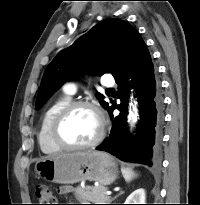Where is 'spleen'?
Returning <instances> with one entry per match:
<instances>
[{
  "label": "spleen",
  "instance_id": "3e777b00",
  "mask_svg": "<svg viewBox=\"0 0 200 205\" xmlns=\"http://www.w3.org/2000/svg\"><path fill=\"white\" fill-rule=\"evenodd\" d=\"M121 171L126 182H130L133 178L137 176L135 172L130 168L122 167Z\"/></svg>",
  "mask_w": 200,
  "mask_h": 205
}]
</instances>
